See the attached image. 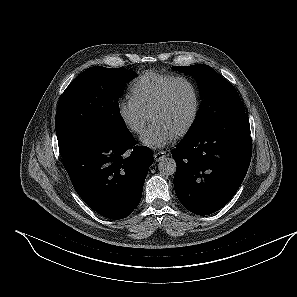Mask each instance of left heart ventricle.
Masks as SVG:
<instances>
[{
    "label": "left heart ventricle",
    "mask_w": 297,
    "mask_h": 297,
    "mask_svg": "<svg viewBox=\"0 0 297 297\" xmlns=\"http://www.w3.org/2000/svg\"><path fill=\"white\" fill-rule=\"evenodd\" d=\"M193 94L184 82L176 83L165 105L153 113L152 122L166 126L176 134L189 120L193 110Z\"/></svg>",
    "instance_id": "1"
}]
</instances>
